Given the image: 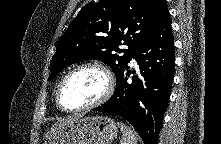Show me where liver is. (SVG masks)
I'll return each instance as SVG.
<instances>
[{"label": "liver", "mask_w": 221, "mask_h": 144, "mask_svg": "<svg viewBox=\"0 0 221 144\" xmlns=\"http://www.w3.org/2000/svg\"><path fill=\"white\" fill-rule=\"evenodd\" d=\"M79 117H73V118H68L66 120H61L59 122H56L54 125H52L51 130L48 131V133L45 134V137H48L52 135L54 132L60 130L61 128L67 126L70 124L72 121L76 120Z\"/></svg>", "instance_id": "obj_1"}]
</instances>
